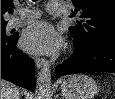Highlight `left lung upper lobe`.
<instances>
[{
	"instance_id": "obj_1",
	"label": "left lung upper lobe",
	"mask_w": 115,
	"mask_h": 99,
	"mask_svg": "<svg viewBox=\"0 0 115 99\" xmlns=\"http://www.w3.org/2000/svg\"><path fill=\"white\" fill-rule=\"evenodd\" d=\"M74 8L71 17L78 16L69 31L74 48L88 47L111 42L115 43V0H72Z\"/></svg>"
}]
</instances>
